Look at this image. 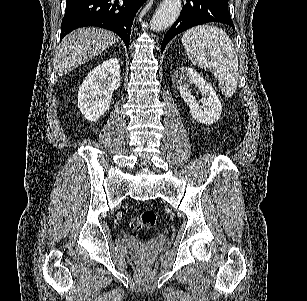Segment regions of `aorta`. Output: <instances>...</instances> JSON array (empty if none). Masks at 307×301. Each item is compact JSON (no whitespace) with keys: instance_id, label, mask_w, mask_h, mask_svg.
<instances>
[{"instance_id":"1","label":"aorta","mask_w":307,"mask_h":301,"mask_svg":"<svg viewBox=\"0 0 307 301\" xmlns=\"http://www.w3.org/2000/svg\"><path fill=\"white\" fill-rule=\"evenodd\" d=\"M181 10V0H162L150 20L151 30L160 32V30H165L168 26H172Z\"/></svg>"}]
</instances>
